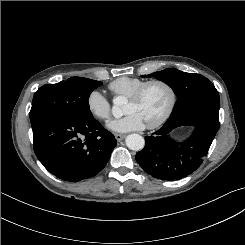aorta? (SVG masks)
<instances>
[{
	"instance_id": "1",
	"label": "aorta",
	"mask_w": 245,
	"mask_h": 245,
	"mask_svg": "<svg viewBox=\"0 0 245 245\" xmlns=\"http://www.w3.org/2000/svg\"><path fill=\"white\" fill-rule=\"evenodd\" d=\"M124 100L122 97H116L113 100L112 114L114 117L119 118L122 116V105ZM126 145L129 149L134 151H139L144 148L145 141L144 138L139 134H130L125 139Z\"/></svg>"
}]
</instances>
